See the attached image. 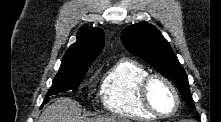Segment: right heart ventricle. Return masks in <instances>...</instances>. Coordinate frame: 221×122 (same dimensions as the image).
I'll list each match as a JSON object with an SVG mask.
<instances>
[{
    "label": "right heart ventricle",
    "instance_id": "right-heart-ventricle-1",
    "mask_svg": "<svg viewBox=\"0 0 221 122\" xmlns=\"http://www.w3.org/2000/svg\"><path fill=\"white\" fill-rule=\"evenodd\" d=\"M148 74L142 65L130 60H121L111 67L101 84L106 110L121 117L153 120L155 116L142 106L138 95L139 84Z\"/></svg>",
    "mask_w": 221,
    "mask_h": 122
}]
</instances>
